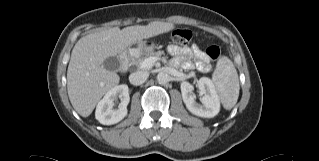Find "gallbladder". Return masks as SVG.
Masks as SVG:
<instances>
[{
    "mask_svg": "<svg viewBox=\"0 0 319 161\" xmlns=\"http://www.w3.org/2000/svg\"><path fill=\"white\" fill-rule=\"evenodd\" d=\"M103 66L109 71H118L120 69V61L117 57H109L104 61Z\"/></svg>",
    "mask_w": 319,
    "mask_h": 161,
    "instance_id": "1",
    "label": "gallbladder"
}]
</instances>
